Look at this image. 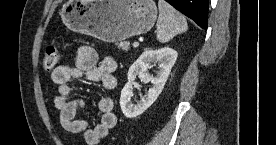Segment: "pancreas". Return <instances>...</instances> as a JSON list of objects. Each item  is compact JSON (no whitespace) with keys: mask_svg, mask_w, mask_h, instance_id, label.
<instances>
[{"mask_svg":"<svg viewBox=\"0 0 276 145\" xmlns=\"http://www.w3.org/2000/svg\"><path fill=\"white\" fill-rule=\"evenodd\" d=\"M119 49H122L124 51H128L130 48L129 42H121L118 44Z\"/></svg>","mask_w":276,"mask_h":145,"instance_id":"cf45deb5","label":"pancreas"}]
</instances>
